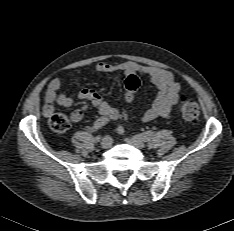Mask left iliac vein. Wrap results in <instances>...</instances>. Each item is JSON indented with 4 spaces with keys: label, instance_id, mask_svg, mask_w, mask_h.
I'll return each instance as SVG.
<instances>
[{
    "label": "left iliac vein",
    "instance_id": "obj_1",
    "mask_svg": "<svg viewBox=\"0 0 234 231\" xmlns=\"http://www.w3.org/2000/svg\"><path fill=\"white\" fill-rule=\"evenodd\" d=\"M124 140L130 144V145H133L135 146L136 148H139V149H143L145 148V143L142 141V140H139V139H135L133 137H126L124 138Z\"/></svg>",
    "mask_w": 234,
    "mask_h": 231
}]
</instances>
